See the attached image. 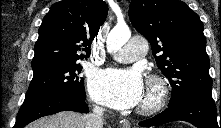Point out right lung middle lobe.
<instances>
[{
  "label": "right lung middle lobe",
  "mask_w": 221,
  "mask_h": 128,
  "mask_svg": "<svg viewBox=\"0 0 221 128\" xmlns=\"http://www.w3.org/2000/svg\"><path fill=\"white\" fill-rule=\"evenodd\" d=\"M81 70V65L74 62L34 73L25 99L56 90L86 96Z\"/></svg>",
  "instance_id": "right-lung-middle-lobe-1"
}]
</instances>
